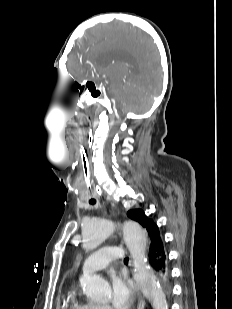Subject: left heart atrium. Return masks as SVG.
I'll list each match as a JSON object with an SVG mask.
<instances>
[{
  "instance_id": "obj_1",
  "label": "left heart atrium",
  "mask_w": 232,
  "mask_h": 309,
  "mask_svg": "<svg viewBox=\"0 0 232 309\" xmlns=\"http://www.w3.org/2000/svg\"><path fill=\"white\" fill-rule=\"evenodd\" d=\"M110 286L112 303L116 309H127L133 304L136 298V290L123 274L111 273Z\"/></svg>"
}]
</instances>
